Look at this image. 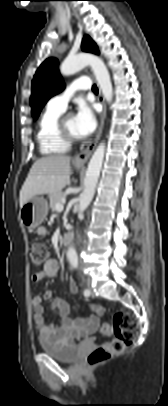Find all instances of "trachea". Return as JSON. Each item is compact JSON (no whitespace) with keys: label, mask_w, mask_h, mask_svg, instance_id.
<instances>
[{"label":"trachea","mask_w":168,"mask_h":406,"mask_svg":"<svg viewBox=\"0 0 168 406\" xmlns=\"http://www.w3.org/2000/svg\"><path fill=\"white\" fill-rule=\"evenodd\" d=\"M92 91L95 92V93L98 92L97 86L95 84L92 86Z\"/></svg>","instance_id":"trachea-1"}]
</instances>
